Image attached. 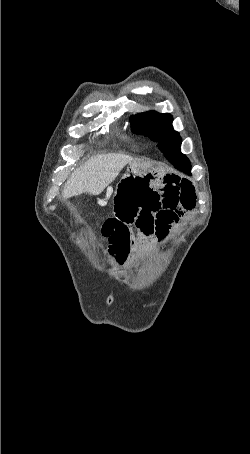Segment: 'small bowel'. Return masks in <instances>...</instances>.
<instances>
[{
    "mask_svg": "<svg viewBox=\"0 0 250 454\" xmlns=\"http://www.w3.org/2000/svg\"><path fill=\"white\" fill-rule=\"evenodd\" d=\"M195 204V187L187 178L151 172L124 174L113 190L114 216L102 226L110 255L119 264L130 257L131 225L145 236L163 239Z\"/></svg>",
    "mask_w": 250,
    "mask_h": 454,
    "instance_id": "small-bowel-1",
    "label": "small bowel"
}]
</instances>
